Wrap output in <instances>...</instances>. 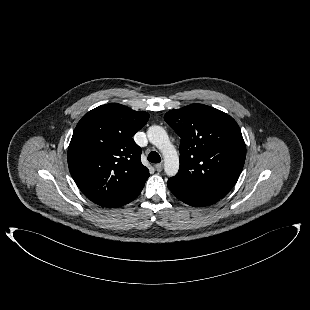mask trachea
I'll return each mask as SVG.
<instances>
[{"label": "trachea", "mask_w": 310, "mask_h": 310, "mask_svg": "<svg viewBox=\"0 0 310 310\" xmlns=\"http://www.w3.org/2000/svg\"><path fill=\"white\" fill-rule=\"evenodd\" d=\"M148 161L151 163H159L161 161L160 155L157 152L152 151L148 155Z\"/></svg>", "instance_id": "3493384b"}]
</instances>
